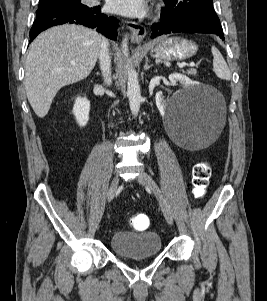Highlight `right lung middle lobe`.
I'll return each mask as SVG.
<instances>
[{"instance_id": "right-lung-middle-lobe-1", "label": "right lung middle lobe", "mask_w": 267, "mask_h": 301, "mask_svg": "<svg viewBox=\"0 0 267 301\" xmlns=\"http://www.w3.org/2000/svg\"><path fill=\"white\" fill-rule=\"evenodd\" d=\"M74 6H85L81 0H39L38 10L36 14H43L57 9Z\"/></svg>"}]
</instances>
